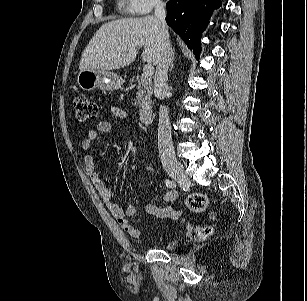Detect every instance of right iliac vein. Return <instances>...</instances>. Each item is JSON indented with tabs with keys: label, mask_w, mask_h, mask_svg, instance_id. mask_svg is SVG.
<instances>
[{
	"label": "right iliac vein",
	"mask_w": 307,
	"mask_h": 301,
	"mask_svg": "<svg viewBox=\"0 0 307 301\" xmlns=\"http://www.w3.org/2000/svg\"><path fill=\"white\" fill-rule=\"evenodd\" d=\"M162 164L166 172L175 180L182 184H188L189 179L184 173L181 163L172 156H165L162 158Z\"/></svg>",
	"instance_id": "obj_1"
}]
</instances>
